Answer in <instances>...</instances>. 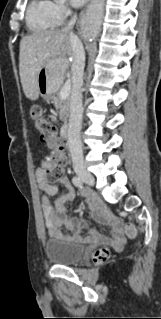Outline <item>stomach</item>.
Listing matches in <instances>:
<instances>
[{
	"mask_svg": "<svg viewBox=\"0 0 161 319\" xmlns=\"http://www.w3.org/2000/svg\"><path fill=\"white\" fill-rule=\"evenodd\" d=\"M64 69L56 60H49L38 73L39 94L44 98L54 95L63 82Z\"/></svg>",
	"mask_w": 161,
	"mask_h": 319,
	"instance_id": "stomach-1",
	"label": "stomach"
}]
</instances>
